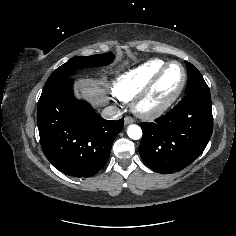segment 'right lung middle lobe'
Returning <instances> with one entry per match:
<instances>
[{"label":"right lung middle lobe","mask_w":236,"mask_h":236,"mask_svg":"<svg viewBox=\"0 0 236 236\" xmlns=\"http://www.w3.org/2000/svg\"><path fill=\"white\" fill-rule=\"evenodd\" d=\"M113 59L114 55L112 53L73 57L65 64L57 68L50 75L47 82L45 83V86L51 85L53 83L59 82L64 78L70 77V74L78 69L106 65L111 63Z\"/></svg>","instance_id":"dd1d6c3e"}]
</instances>
